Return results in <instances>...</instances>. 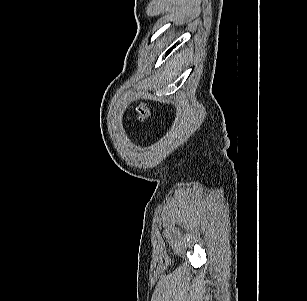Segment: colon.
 Masks as SVG:
<instances>
[{"instance_id":"1","label":"colon","mask_w":307,"mask_h":301,"mask_svg":"<svg viewBox=\"0 0 307 301\" xmlns=\"http://www.w3.org/2000/svg\"><path fill=\"white\" fill-rule=\"evenodd\" d=\"M150 115V110L144 103H139L135 108V113L130 121L131 125H136L145 121Z\"/></svg>"}]
</instances>
